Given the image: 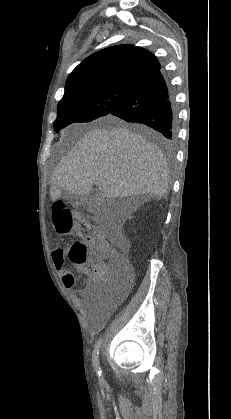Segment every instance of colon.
<instances>
[{
	"mask_svg": "<svg viewBox=\"0 0 231 419\" xmlns=\"http://www.w3.org/2000/svg\"><path fill=\"white\" fill-rule=\"evenodd\" d=\"M53 222L62 234L76 233L80 238L69 249L71 263L85 265V269L96 284H106L116 291L122 282L131 277V266L122 253L103 240L95 226L80 215L74 214L62 203L53 205ZM53 255L59 264L64 262L60 252Z\"/></svg>",
	"mask_w": 231,
	"mask_h": 419,
	"instance_id": "1",
	"label": "colon"
}]
</instances>
